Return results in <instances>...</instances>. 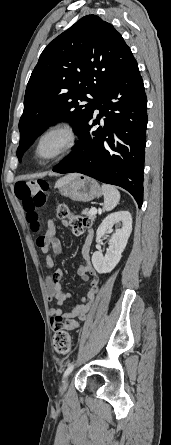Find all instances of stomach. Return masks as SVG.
<instances>
[{"instance_id": "stomach-1", "label": "stomach", "mask_w": 171, "mask_h": 445, "mask_svg": "<svg viewBox=\"0 0 171 445\" xmlns=\"http://www.w3.org/2000/svg\"><path fill=\"white\" fill-rule=\"evenodd\" d=\"M59 192L73 201L89 202L102 195L99 184L87 176L63 178L56 183Z\"/></svg>"}]
</instances>
